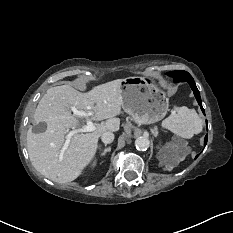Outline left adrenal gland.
I'll use <instances>...</instances> for the list:
<instances>
[{"label":"left adrenal gland","instance_id":"left-adrenal-gland-1","mask_svg":"<svg viewBox=\"0 0 233 233\" xmlns=\"http://www.w3.org/2000/svg\"><path fill=\"white\" fill-rule=\"evenodd\" d=\"M151 131H152V133L154 134V136L156 137V136H157L156 130H155V129H152Z\"/></svg>","mask_w":233,"mask_h":233}]
</instances>
